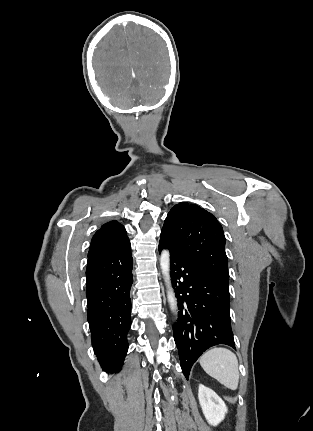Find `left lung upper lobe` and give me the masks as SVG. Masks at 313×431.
Returning a JSON list of instances; mask_svg holds the SVG:
<instances>
[{"label":"left lung upper lobe","instance_id":"1","mask_svg":"<svg viewBox=\"0 0 313 431\" xmlns=\"http://www.w3.org/2000/svg\"><path fill=\"white\" fill-rule=\"evenodd\" d=\"M160 237L187 262L229 283L224 232L211 213L196 204L181 202L168 213Z\"/></svg>","mask_w":313,"mask_h":431}]
</instances>
